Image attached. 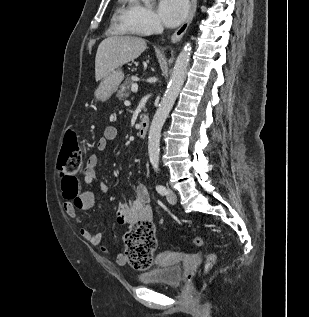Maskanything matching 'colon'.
<instances>
[{"instance_id": "5ec220e1", "label": "colon", "mask_w": 309, "mask_h": 317, "mask_svg": "<svg viewBox=\"0 0 309 317\" xmlns=\"http://www.w3.org/2000/svg\"><path fill=\"white\" fill-rule=\"evenodd\" d=\"M81 166V151L78 138L73 130L66 132L62 149L58 159V170L62 183L66 184L75 177ZM126 254L131 267L135 270H146L153 263V253L157 246L155 230L152 222L146 220L136 221L131 224L124 237ZM195 246H201L200 237L193 240ZM217 255L210 253L207 256L204 270L209 271L215 264Z\"/></svg>"}]
</instances>
